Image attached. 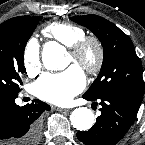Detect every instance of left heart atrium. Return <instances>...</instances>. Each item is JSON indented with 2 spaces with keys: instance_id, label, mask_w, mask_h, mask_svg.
<instances>
[{
  "instance_id": "obj_1",
  "label": "left heart atrium",
  "mask_w": 145,
  "mask_h": 145,
  "mask_svg": "<svg viewBox=\"0 0 145 145\" xmlns=\"http://www.w3.org/2000/svg\"><path fill=\"white\" fill-rule=\"evenodd\" d=\"M85 76L78 65L60 73H46L35 84L34 93L42 100L66 104L85 86Z\"/></svg>"
}]
</instances>
